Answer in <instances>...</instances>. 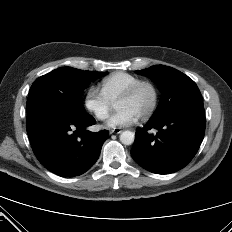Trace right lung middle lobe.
<instances>
[{
	"label": "right lung middle lobe",
	"mask_w": 232,
	"mask_h": 232,
	"mask_svg": "<svg viewBox=\"0 0 232 232\" xmlns=\"http://www.w3.org/2000/svg\"><path fill=\"white\" fill-rule=\"evenodd\" d=\"M107 72L83 71L72 67L55 69L37 78L29 91L27 113L36 109L86 113L82 105L84 89Z\"/></svg>",
	"instance_id": "right-lung-middle-lobe-1"
}]
</instances>
